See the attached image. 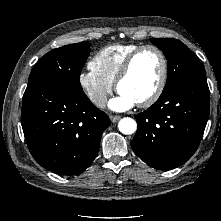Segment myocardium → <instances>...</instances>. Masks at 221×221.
I'll use <instances>...</instances> for the list:
<instances>
[{"instance_id": "1", "label": "myocardium", "mask_w": 221, "mask_h": 221, "mask_svg": "<svg viewBox=\"0 0 221 221\" xmlns=\"http://www.w3.org/2000/svg\"><path fill=\"white\" fill-rule=\"evenodd\" d=\"M145 50H153L155 51L161 60V75L159 78V82L153 91V93L147 97L145 100L137 103L140 107H149L153 105L155 102L158 101V99L161 97L166 83H167V77H168V61L164 54V52L155 45H142L135 49L133 52H131L128 57L126 58L121 70L119 71L116 80H115V87L116 90L119 92V88L121 83L128 77V75L131 72L133 63L135 59L138 57L139 54H141Z\"/></svg>"}]
</instances>
